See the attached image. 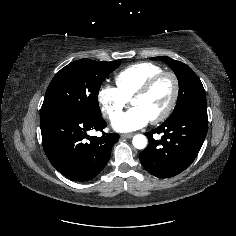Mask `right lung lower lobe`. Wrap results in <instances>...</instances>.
Returning <instances> with one entry per match:
<instances>
[{"instance_id":"1","label":"right lung lower lobe","mask_w":236,"mask_h":236,"mask_svg":"<svg viewBox=\"0 0 236 236\" xmlns=\"http://www.w3.org/2000/svg\"><path fill=\"white\" fill-rule=\"evenodd\" d=\"M42 143L51 164L67 178L84 182L98 175L107 164L118 134L100 138L87 135L102 131L106 122L71 111H57L40 118ZM88 139L89 141H86Z\"/></svg>"}]
</instances>
